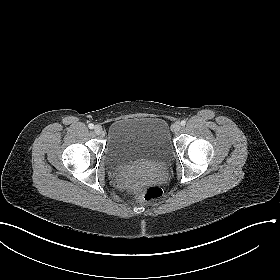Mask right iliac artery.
Returning a JSON list of instances; mask_svg holds the SVG:
<instances>
[{
    "mask_svg": "<svg viewBox=\"0 0 280 280\" xmlns=\"http://www.w3.org/2000/svg\"><path fill=\"white\" fill-rule=\"evenodd\" d=\"M88 127H89L90 129H93V128H94V124L90 123V124L88 125Z\"/></svg>",
    "mask_w": 280,
    "mask_h": 280,
    "instance_id": "right-iliac-artery-1",
    "label": "right iliac artery"
}]
</instances>
